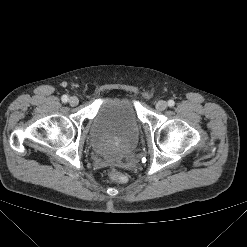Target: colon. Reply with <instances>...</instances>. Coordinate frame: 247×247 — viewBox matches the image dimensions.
<instances>
[{
  "mask_svg": "<svg viewBox=\"0 0 247 247\" xmlns=\"http://www.w3.org/2000/svg\"><path fill=\"white\" fill-rule=\"evenodd\" d=\"M109 179L118 182V183H126L128 181L127 175H125L122 172L116 171V170H111L108 173Z\"/></svg>",
  "mask_w": 247,
  "mask_h": 247,
  "instance_id": "colon-1",
  "label": "colon"
}]
</instances>
